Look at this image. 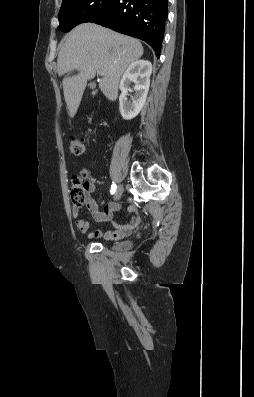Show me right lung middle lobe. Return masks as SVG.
<instances>
[{"label": "right lung middle lobe", "mask_w": 254, "mask_h": 397, "mask_svg": "<svg viewBox=\"0 0 254 397\" xmlns=\"http://www.w3.org/2000/svg\"><path fill=\"white\" fill-rule=\"evenodd\" d=\"M113 0H62L58 14L62 32H69L78 24L89 22L101 15Z\"/></svg>", "instance_id": "1"}]
</instances>
